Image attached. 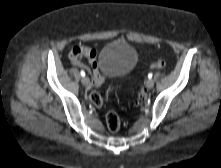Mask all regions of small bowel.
<instances>
[{"mask_svg":"<svg viewBox=\"0 0 221 168\" xmlns=\"http://www.w3.org/2000/svg\"><path fill=\"white\" fill-rule=\"evenodd\" d=\"M69 58L73 65L88 68L83 61V59H86L91 67L89 71L91 73L92 84L94 86L103 84L105 77L99 71L98 55L94 49L84 45H77L71 50Z\"/></svg>","mask_w":221,"mask_h":168,"instance_id":"1","label":"small bowel"}]
</instances>
